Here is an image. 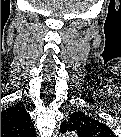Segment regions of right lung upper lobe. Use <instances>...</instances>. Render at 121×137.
<instances>
[{
  "instance_id": "obj_1",
  "label": "right lung upper lobe",
  "mask_w": 121,
  "mask_h": 137,
  "mask_svg": "<svg viewBox=\"0 0 121 137\" xmlns=\"http://www.w3.org/2000/svg\"><path fill=\"white\" fill-rule=\"evenodd\" d=\"M32 125L29 114L18 105L1 112V135L34 134Z\"/></svg>"
}]
</instances>
